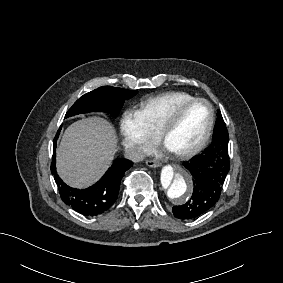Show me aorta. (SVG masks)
I'll use <instances>...</instances> for the list:
<instances>
[{
  "label": "aorta",
  "instance_id": "762f6f07",
  "mask_svg": "<svg viewBox=\"0 0 283 283\" xmlns=\"http://www.w3.org/2000/svg\"><path fill=\"white\" fill-rule=\"evenodd\" d=\"M160 195L175 203H186L193 191L192 177L180 165H166L162 168L159 179Z\"/></svg>",
  "mask_w": 283,
  "mask_h": 283
}]
</instances>
